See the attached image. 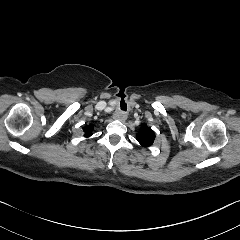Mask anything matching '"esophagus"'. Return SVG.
Here are the masks:
<instances>
[{
	"label": "esophagus",
	"instance_id": "1",
	"mask_svg": "<svg viewBox=\"0 0 240 240\" xmlns=\"http://www.w3.org/2000/svg\"><path fill=\"white\" fill-rule=\"evenodd\" d=\"M114 118L120 121H125L127 119V115L123 112H115Z\"/></svg>",
	"mask_w": 240,
	"mask_h": 240
}]
</instances>
